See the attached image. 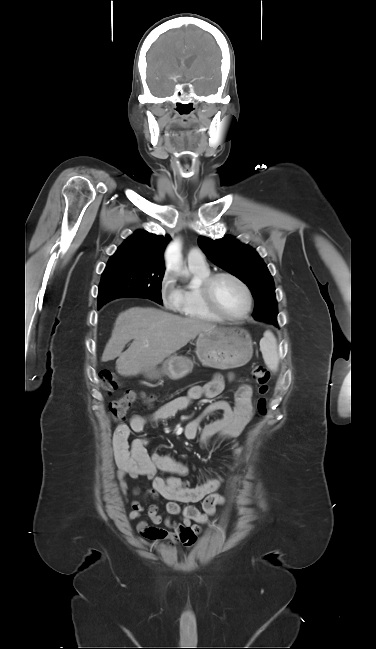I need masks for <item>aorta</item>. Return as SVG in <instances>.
<instances>
[{
	"label": "aorta",
	"mask_w": 376,
	"mask_h": 649,
	"mask_svg": "<svg viewBox=\"0 0 376 649\" xmlns=\"http://www.w3.org/2000/svg\"><path fill=\"white\" fill-rule=\"evenodd\" d=\"M181 243L180 241L174 240L166 249L165 260L168 269H172L175 272L181 271Z\"/></svg>",
	"instance_id": "1"
}]
</instances>
